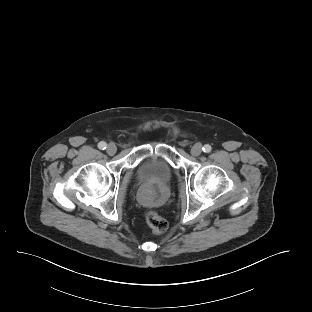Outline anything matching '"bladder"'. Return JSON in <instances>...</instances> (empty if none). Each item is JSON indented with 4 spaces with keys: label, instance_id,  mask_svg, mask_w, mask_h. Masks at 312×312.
Listing matches in <instances>:
<instances>
[{
    "label": "bladder",
    "instance_id": "31cf9c89",
    "mask_svg": "<svg viewBox=\"0 0 312 312\" xmlns=\"http://www.w3.org/2000/svg\"><path fill=\"white\" fill-rule=\"evenodd\" d=\"M173 177V168L163 158L153 155L136 170V179L142 184L167 185Z\"/></svg>",
    "mask_w": 312,
    "mask_h": 312
}]
</instances>
